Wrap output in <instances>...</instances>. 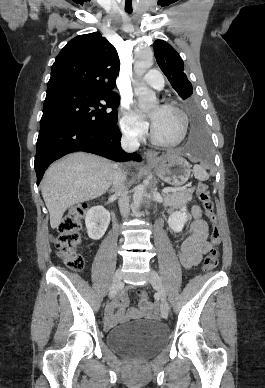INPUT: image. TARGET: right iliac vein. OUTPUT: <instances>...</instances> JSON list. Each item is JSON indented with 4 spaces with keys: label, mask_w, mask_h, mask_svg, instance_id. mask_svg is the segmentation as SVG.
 Listing matches in <instances>:
<instances>
[{
    "label": "right iliac vein",
    "mask_w": 265,
    "mask_h": 388,
    "mask_svg": "<svg viewBox=\"0 0 265 388\" xmlns=\"http://www.w3.org/2000/svg\"><path fill=\"white\" fill-rule=\"evenodd\" d=\"M121 280H122V271L121 269H118L114 274L113 281L109 291V297L111 299L116 296L121 285Z\"/></svg>",
    "instance_id": "right-iliac-vein-1"
}]
</instances>
